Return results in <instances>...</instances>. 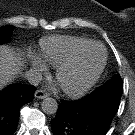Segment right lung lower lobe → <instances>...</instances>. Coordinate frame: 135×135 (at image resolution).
<instances>
[{
	"label": "right lung lower lobe",
	"instance_id": "1",
	"mask_svg": "<svg viewBox=\"0 0 135 135\" xmlns=\"http://www.w3.org/2000/svg\"><path fill=\"white\" fill-rule=\"evenodd\" d=\"M35 91L32 85L13 84L0 92V135H13L20 108L33 100Z\"/></svg>",
	"mask_w": 135,
	"mask_h": 135
}]
</instances>
